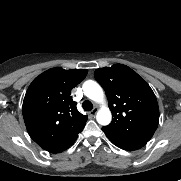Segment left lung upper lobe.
I'll return each mask as SVG.
<instances>
[{"instance_id":"5c2ea615","label":"left lung upper lobe","mask_w":181,"mask_h":181,"mask_svg":"<svg viewBox=\"0 0 181 181\" xmlns=\"http://www.w3.org/2000/svg\"><path fill=\"white\" fill-rule=\"evenodd\" d=\"M94 75L105 90L113 115L112 122L102 127L107 138L120 145H146L159 123V107L151 87L123 64L98 68Z\"/></svg>"}]
</instances>
